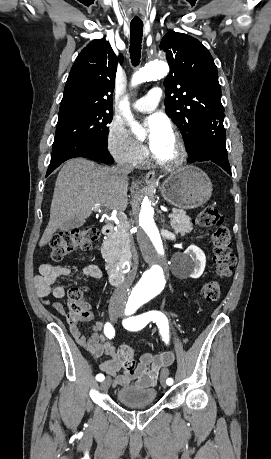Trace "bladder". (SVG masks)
I'll return each mask as SVG.
<instances>
[{"instance_id":"obj_1","label":"bladder","mask_w":271,"mask_h":459,"mask_svg":"<svg viewBox=\"0 0 271 459\" xmlns=\"http://www.w3.org/2000/svg\"><path fill=\"white\" fill-rule=\"evenodd\" d=\"M155 401V389H142L135 384L126 386L117 393V404L149 405L155 403Z\"/></svg>"}]
</instances>
